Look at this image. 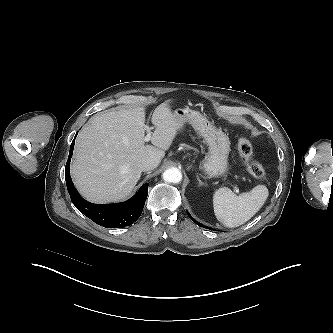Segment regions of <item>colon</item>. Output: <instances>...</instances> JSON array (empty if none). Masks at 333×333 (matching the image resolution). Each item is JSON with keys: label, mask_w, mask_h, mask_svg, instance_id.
<instances>
[{"label": "colon", "mask_w": 333, "mask_h": 333, "mask_svg": "<svg viewBox=\"0 0 333 333\" xmlns=\"http://www.w3.org/2000/svg\"><path fill=\"white\" fill-rule=\"evenodd\" d=\"M238 152L248 173L256 179L264 178L265 169L262 164L253 159V147L247 138L241 137L238 140Z\"/></svg>", "instance_id": "5ec220e1"}]
</instances>
